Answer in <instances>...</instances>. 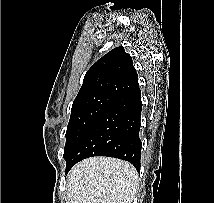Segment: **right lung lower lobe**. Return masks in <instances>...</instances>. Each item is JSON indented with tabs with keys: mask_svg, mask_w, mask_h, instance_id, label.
<instances>
[{
	"mask_svg": "<svg viewBox=\"0 0 214 203\" xmlns=\"http://www.w3.org/2000/svg\"><path fill=\"white\" fill-rule=\"evenodd\" d=\"M141 110L139 86L113 98L84 133L66 160V174L77 162L93 156L126 160L139 172Z\"/></svg>",
	"mask_w": 214,
	"mask_h": 203,
	"instance_id": "obj_1",
	"label": "right lung lower lobe"
}]
</instances>
